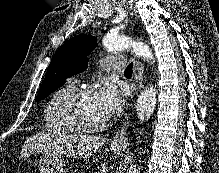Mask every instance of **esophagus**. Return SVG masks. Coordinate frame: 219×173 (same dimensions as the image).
<instances>
[{"label":"esophagus","mask_w":219,"mask_h":173,"mask_svg":"<svg viewBox=\"0 0 219 173\" xmlns=\"http://www.w3.org/2000/svg\"><path fill=\"white\" fill-rule=\"evenodd\" d=\"M143 67L139 61L135 64V78L137 80L138 86L142 80ZM130 113L125 114V119L123 120L120 128L115 133L111 143L114 146H124L127 143V128L129 125Z\"/></svg>","instance_id":"obj_1"}]
</instances>
